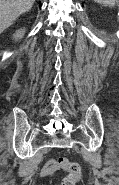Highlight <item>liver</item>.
<instances>
[{
  "instance_id": "1",
  "label": "liver",
  "mask_w": 119,
  "mask_h": 185,
  "mask_svg": "<svg viewBox=\"0 0 119 185\" xmlns=\"http://www.w3.org/2000/svg\"><path fill=\"white\" fill-rule=\"evenodd\" d=\"M35 0H0V34L23 13L31 10Z\"/></svg>"
}]
</instances>
